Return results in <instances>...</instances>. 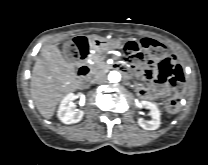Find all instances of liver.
Masks as SVG:
<instances>
[{"label": "liver", "instance_id": "liver-1", "mask_svg": "<svg viewBox=\"0 0 208 165\" xmlns=\"http://www.w3.org/2000/svg\"><path fill=\"white\" fill-rule=\"evenodd\" d=\"M79 88L74 66L62 57L57 45L43 48L31 76V95L39 113L51 119L61 100Z\"/></svg>", "mask_w": 208, "mask_h": 165}]
</instances>
